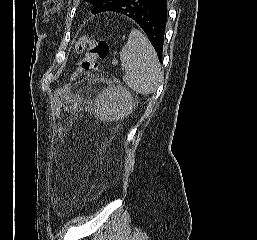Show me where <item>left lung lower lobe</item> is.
Wrapping results in <instances>:
<instances>
[{
  "label": "left lung lower lobe",
  "mask_w": 257,
  "mask_h": 240,
  "mask_svg": "<svg viewBox=\"0 0 257 240\" xmlns=\"http://www.w3.org/2000/svg\"><path fill=\"white\" fill-rule=\"evenodd\" d=\"M107 11L119 13L135 21L148 36L159 61L162 62L167 23L166 0H122Z\"/></svg>",
  "instance_id": "0a47b994"
}]
</instances>
